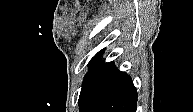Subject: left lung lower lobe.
<instances>
[{
	"mask_svg": "<svg viewBox=\"0 0 193 112\" xmlns=\"http://www.w3.org/2000/svg\"><path fill=\"white\" fill-rule=\"evenodd\" d=\"M103 52L89 63L79 96L80 112H136L137 92L131 77L113 62L100 61Z\"/></svg>",
	"mask_w": 193,
	"mask_h": 112,
	"instance_id": "obj_1",
	"label": "left lung lower lobe"
}]
</instances>
